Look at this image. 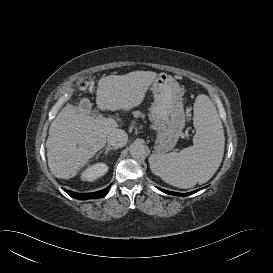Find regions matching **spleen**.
Returning a JSON list of instances; mask_svg holds the SVG:
<instances>
[{
  "label": "spleen",
  "mask_w": 273,
  "mask_h": 273,
  "mask_svg": "<svg viewBox=\"0 0 273 273\" xmlns=\"http://www.w3.org/2000/svg\"><path fill=\"white\" fill-rule=\"evenodd\" d=\"M193 145L180 152L153 154L150 169L164 182L182 189L206 183L217 171L224 155L225 137L219 114L206 95L194 103Z\"/></svg>",
  "instance_id": "spleen-1"
}]
</instances>
